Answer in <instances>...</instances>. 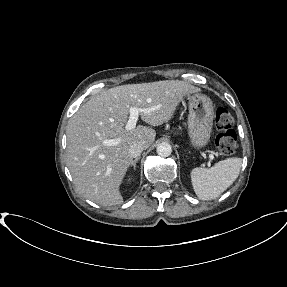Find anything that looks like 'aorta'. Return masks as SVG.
<instances>
[{"mask_svg":"<svg viewBox=\"0 0 287 287\" xmlns=\"http://www.w3.org/2000/svg\"><path fill=\"white\" fill-rule=\"evenodd\" d=\"M157 154L161 157H168L172 153V147L169 143L162 142L158 144L157 148Z\"/></svg>","mask_w":287,"mask_h":287,"instance_id":"obj_1","label":"aorta"}]
</instances>
